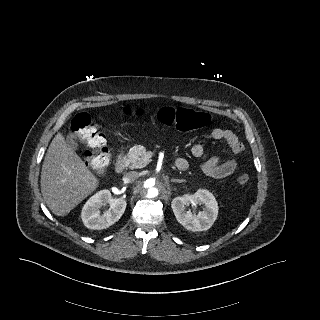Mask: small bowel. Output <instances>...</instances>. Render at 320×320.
Here are the masks:
<instances>
[{"label": "small bowel", "mask_w": 320, "mask_h": 320, "mask_svg": "<svg viewBox=\"0 0 320 320\" xmlns=\"http://www.w3.org/2000/svg\"><path fill=\"white\" fill-rule=\"evenodd\" d=\"M211 138L214 140H223L227 143L231 153L234 156L240 155L244 150L243 143L239 140L237 135L231 130L214 128L211 131ZM191 153L195 157H201L204 153L203 146L200 144H194L191 148ZM185 160L183 158H178L177 160ZM186 161V160H185ZM240 168L239 162L236 159H228L222 161L218 156L212 157L205 161L202 165L203 172L215 179L226 178Z\"/></svg>", "instance_id": "c3829d8e"}]
</instances>
